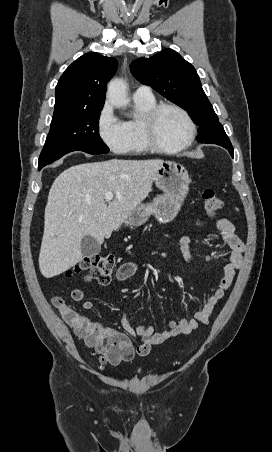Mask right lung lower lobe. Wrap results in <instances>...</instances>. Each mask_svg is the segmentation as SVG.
Wrapping results in <instances>:
<instances>
[{
	"label": "right lung lower lobe",
	"mask_w": 272,
	"mask_h": 452,
	"mask_svg": "<svg viewBox=\"0 0 272 452\" xmlns=\"http://www.w3.org/2000/svg\"><path fill=\"white\" fill-rule=\"evenodd\" d=\"M52 162H54V161H52ZM52 162H48V163H44V164H39L38 170H41L42 167H44V166H46V165H48V164H50V163H52Z\"/></svg>",
	"instance_id": "98d812e1"
}]
</instances>
